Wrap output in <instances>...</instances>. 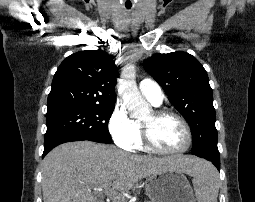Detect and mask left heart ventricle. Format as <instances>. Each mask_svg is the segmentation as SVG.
Wrapping results in <instances>:
<instances>
[{
	"mask_svg": "<svg viewBox=\"0 0 255 202\" xmlns=\"http://www.w3.org/2000/svg\"><path fill=\"white\" fill-rule=\"evenodd\" d=\"M143 122L151 124V134L157 147L163 150H178L185 145L186 134L182 124L174 117L153 120L152 112Z\"/></svg>",
	"mask_w": 255,
	"mask_h": 202,
	"instance_id": "obj_1",
	"label": "left heart ventricle"
}]
</instances>
